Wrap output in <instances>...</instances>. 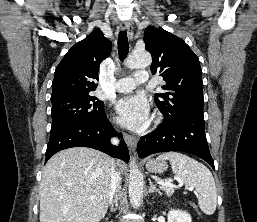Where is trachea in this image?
<instances>
[{"instance_id":"1","label":"trachea","mask_w":257,"mask_h":222,"mask_svg":"<svg viewBox=\"0 0 257 222\" xmlns=\"http://www.w3.org/2000/svg\"><path fill=\"white\" fill-rule=\"evenodd\" d=\"M129 53V43L126 31H120L118 36V54L119 59L124 61Z\"/></svg>"}]
</instances>
